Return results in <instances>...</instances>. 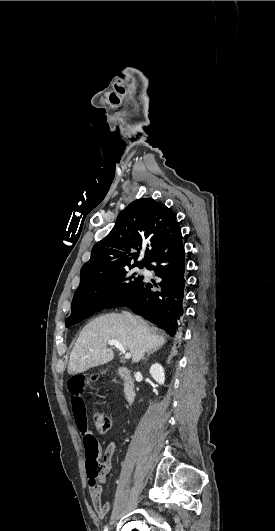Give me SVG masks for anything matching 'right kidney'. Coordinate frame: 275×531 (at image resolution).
<instances>
[{"mask_svg": "<svg viewBox=\"0 0 275 531\" xmlns=\"http://www.w3.org/2000/svg\"><path fill=\"white\" fill-rule=\"evenodd\" d=\"M149 373L153 379H155L156 383H159V385H164L165 381V373L162 365L160 363H154V365H151L149 369Z\"/></svg>", "mask_w": 275, "mask_h": 531, "instance_id": "obj_1", "label": "right kidney"}]
</instances>
